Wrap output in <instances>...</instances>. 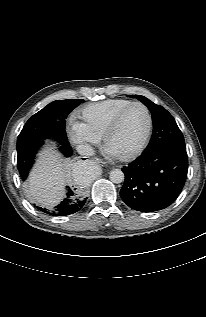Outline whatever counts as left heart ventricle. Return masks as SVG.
Returning a JSON list of instances; mask_svg holds the SVG:
<instances>
[{
	"label": "left heart ventricle",
	"mask_w": 206,
	"mask_h": 317,
	"mask_svg": "<svg viewBox=\"0 0 206 317\" xmlns=\"http://www.w3.org/2000/svg\"><path fill=\"white\" fill-rule=\"evenodd\" d=\"M147 128V117L140 106L132 107L123 117L116 131L111 135L108 146L117 154L136 149L142 142Z\"/></svg>",
	"instance_id": "obj_1"
}]
</instances>
